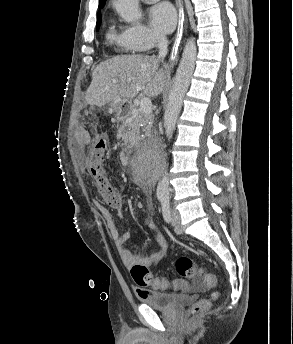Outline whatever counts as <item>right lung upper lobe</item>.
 Wrapping results in <instances>:
<instances>
[{
	"label": "right lung upper lobe",
	"instance_id": "right-lung-upper-lobe-1",
	"mask_svg": "<svg viewBox=\"0 0 293 344\" xmlns=\"http://www.w3.org/2000/svg\"><path fill=\"white\" fill-rule=\"evenodd\" d=\"M105 1H106V0H100V1H99V6H104ZM100 17H101V14H100V12H98V17H97V19L100 18Z\"/></svg>",
	"mask_w": 293,
	"mask_h": 344
}]
</instances>
